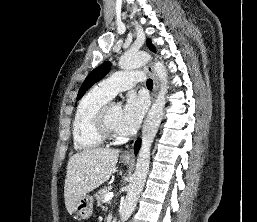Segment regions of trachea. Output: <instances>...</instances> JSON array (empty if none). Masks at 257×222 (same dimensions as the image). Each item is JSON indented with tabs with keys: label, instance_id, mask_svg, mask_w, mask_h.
Wrapping results in <instances>:
<instances>
[{
	"label": "trachea",
	"instance_id": "1",
	"mask_svg": "<svg viewBox=\"0 0 257 222\" xmlns=\"http://www.w3.org/2000/svg\"><path fill=\"white\" fill-rule=\"evenodd\" d=\"M146 85H147V88L152 89L153 88V81H152V79H148Z\"/></svg>",
	"mask_w": 257,
	"mask_h": 222
}]
</instances>
